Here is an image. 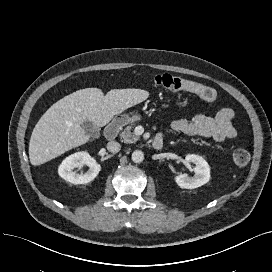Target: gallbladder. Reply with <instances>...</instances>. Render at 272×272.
Instances as JSON below:
<instances>
[{
  "label": "gallbladder",
  "instance_id": "bac80fb5",
  "mask_svg": "<svg viewBox=\"0 0 272 272\" xmlns=\"http://www.w3.org/2000/svg\"><path fill=\"white\" fill-rule=\"evenodd\" d=\"M81 126L84 131L91 136L97 137L100 135L98 127L89 120H85Z\"/></svg>",
  "mask_w": 272,
  "mask_h": 272
}]
</instances>
